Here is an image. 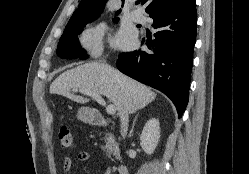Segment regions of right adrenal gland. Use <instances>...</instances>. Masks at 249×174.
Returning a JSON list of instances; mask_svg holds the SVG:
<instances>
[{"instance_id":"2a0ac1e0","label":"right adrenal gland","mask_w":249,"mask_h":174,"mask_svg":"<svg viewBox=\"0 0 249 174\" xmlns=\"http://www.w3.org/2000/svg\"><path fill=\"white\" fill-rule=\"evenodd\" d=\"M137 116H138V115H136V117H135V119H134V121H133L132 128H131L130 133H129V136H130V137L132 136V133H133V130H134V126H135V122H136Z\"/></svg>"}]
</instances>
